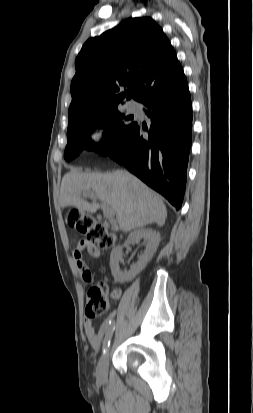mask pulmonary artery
Here are the masks:
<instances>
[{
  "label": "pulmonary artery",
  "mask_w": 253,
  "mask_h": 413,
  "mask_svg": "<svg viewBox=\"0 0 253 413\" xmlns=\"http://www.w3.org/2000/svg\"><path fill=\"white\" fill-rule=\"evenodd\" d=\"M128 109L130 111H135L137 109V105L135 103L131 102V103L128 104Z\"/></svg>",
  "instance_id": "pulmonary-artery-1"
}]
</instances>
